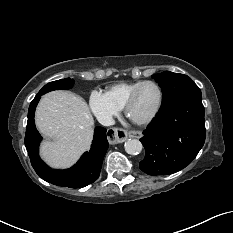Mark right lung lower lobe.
<instances>
[{
    "mask_svg": "<svg viewBox=\"0 0 233 233\" xmlns=\"http://www.w3.org/2000/svg\"><path fill=\"white\" fill-rule=\"evenodd\" d=\"M41 96V94H37L29 106L25 134V146L33 168L42 179L58 186L81 188L93 183L99 177L103 158L109 146L106 129L102 127L95 129L90 151L84 153L72 168L67 170L49 168L38 155V148L42 138L34 122L35 108Z\"/></svg>",
    "mask_w": 233,
    "mask_h": 233,
    "instance_id": "1",
    "label": "right lung lower lobe"
}]
</instances>
